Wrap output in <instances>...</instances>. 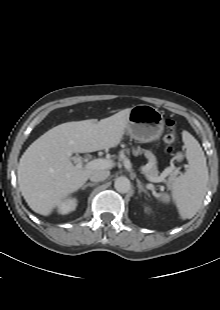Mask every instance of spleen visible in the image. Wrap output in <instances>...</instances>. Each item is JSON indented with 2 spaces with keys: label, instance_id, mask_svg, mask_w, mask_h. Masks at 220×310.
I'll return each instance as SVG.
<instances>
[{
  "label": "spleen",
  "instance_id": "1",
  "mask_svg": "<svg viewBox=\"0 0 220 310\" xmlns=\"http://www.w3.org/2000/svg\"><path fill=\"white\" fill-rule=\"evenodd\" d=\"M186 145V158L189 167L186 172L177 177L172 184V198L182 219L192 218L199 210L207 190L209 179L204 152L198 141L187 131L183 132ZM163 202L169 201V196H160Z\"/></svg>",
  "mask_w": 220,
  "mask_h": 310
}]
</instances>
